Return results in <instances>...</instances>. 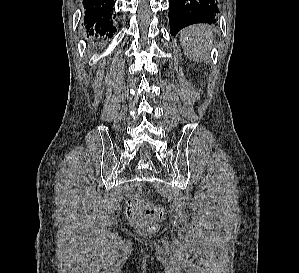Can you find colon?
Segmentation results:
<instances>
[{"label":"colon","instance_id":"obj_1","mask_svg":"<svg viewBox=\"0 0 299 273\" xmlns=\"http://www.w3.org/2000/svg\"><path fill=\"white\" fill-rule=\"evenodd\" d=\"M125 217L144 231H151L154 225L147 219L152 221H161L165 217V210L159 205H151L145 202L140 196H132L129 198L124 209Z\"/></svg>","mask_w":299,"mask_h":273}]
</instances>
